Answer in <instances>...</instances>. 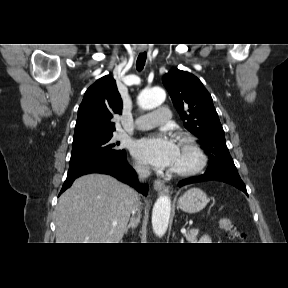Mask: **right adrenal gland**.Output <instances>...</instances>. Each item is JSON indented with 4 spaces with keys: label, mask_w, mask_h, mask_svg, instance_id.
Returning a JSON list of instances; mask_svg holds the SVG:
<instances>
[{
    "label": "right adrenal gland",
    "mask_w": 288,
    "mask_h": 288,
    "mask_svg": "<svg viewBox=\"0 0 288 288\" xmlns=\"http://www.w3.org/2000/svg\"><path fill=\"white\" fill-rule=\"evenodd\" d=\"M140 222V216L136 217V218H131L129 224L127 225L126 229H125V233L128 232L129 229H135L138 226V223Z\"/></svg>",
    "instance_id": "2a0ac1e0"
}]
</instances>
